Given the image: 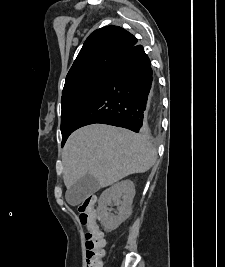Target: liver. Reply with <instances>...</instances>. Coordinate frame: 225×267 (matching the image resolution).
<instances>
[{
    "label": "liver",
    "instance_id": "6515ba94",
    "mask_svg": "<svg viewBox=\"0 0 225 267\" xmlns=\"http://www.w3.org/2000/svg\"><path fill=\"white\" fill-rule=\"evenodd\" d=\"M157 152L148 137L106 124H90L73 132L62 152L64 183L71 188L86 174L100 187L148 171Z\"/></svg>",
    "mask_w": 225,
    "mask_h": 267
}]
</instances>
